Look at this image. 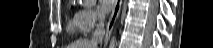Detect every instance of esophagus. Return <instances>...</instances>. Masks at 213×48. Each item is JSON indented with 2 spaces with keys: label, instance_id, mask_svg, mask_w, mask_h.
<instances>
[{
  "label": "esophagus",
  "instance_id": "obj_1",
  "mask_svg": "<svg viewBox=\"0 0 213 48\" xmlns=\"http://www.w3.org/2000/svg\"><path fill=\"white\" fill-rule=\"evenodd\" d=\"M121 6H122V0H116L114 8H113L112 13H111V16H110L109 21H108L107 26H106L105 41H108V39H109V37L112 33V30L114 28L116 20H117L119 13L121 11Z\"/></svg>",
  "mask_w": 213,
  "mask_h": 48
}]
</instances>
